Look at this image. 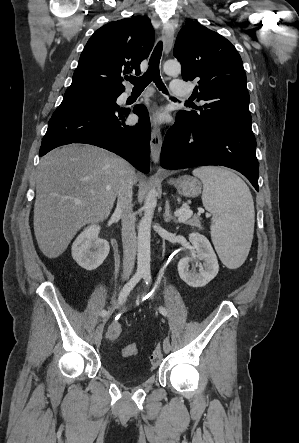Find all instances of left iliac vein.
<instances>
[{"mask_svg":"<svg viewBox=\"0 0 299 443\" xmlns=\"http://www.w3.org/2000/svg\"><path fill=\"white\" fill-rule=\"evenodd\" d=\"M170 349H171L170 340L168 338H165L163 342V350L165 353H169Z\"/></svg>","mask_w":299,"mask_h":443,"instance_id":"1","label":"left iliac vein"}]
</instances>
